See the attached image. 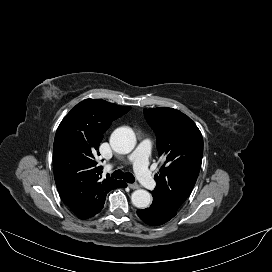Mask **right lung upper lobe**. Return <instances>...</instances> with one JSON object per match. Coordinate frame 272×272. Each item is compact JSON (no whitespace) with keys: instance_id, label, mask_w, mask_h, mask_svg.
I'll use <instances>...</instances> for the list:
<instances>
[{"instance_id":"cb5924a9","label":"right lung upper lobe","mask_w":272,"mask_h":272,"mask_svg":"<svg viewBox=\"0 0 272 272\" xmlns=\"http://www.w3.org/2000/svg\"><path fill=\"white\" fill-rule=\"evenodd\" d=\"M131 107L101 99H86L77 104L60 123L53 145L54 178L58 192L79 219L98 213L106 194L117 180L102 179L95 155L104 132L112 121Z\"/></svg>"}]
</instances>
